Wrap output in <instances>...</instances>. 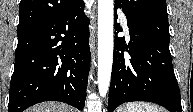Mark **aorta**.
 Instances as JSON below:
<instances>
[{
  "instance_id": "762f6f07",
  "label": "aorta",
  "mask_w": 193,
  "mask_h": 112,
  "mask_svg": "<svg viewBox=\"0 0 193 112\" xmlns=\"http://www.w3.org/2000/svg\"><path fill=\"white\" fill-rule=\"evenodd\" d=\"M113 0H98V89L106 96L113 62Z\"/></svg>"
}]
</instances>
